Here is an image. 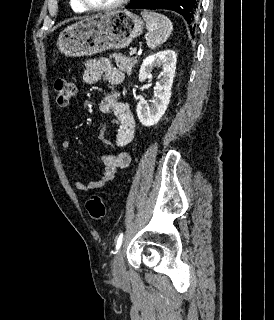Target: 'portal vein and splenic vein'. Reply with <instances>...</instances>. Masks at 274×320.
Masks as SVG:
<instances>
[{"instance_id": "1", "label": "portal vein and splenic vein", "mask_w": 274, "mask_h": 320, "mask_svg": "<svg viewBox=\"0 0 274 320\" xmlns=\"http://www.w3.org/2000/svg\"><path fill=\"white\" fill-rule=\"evenodd\" d=\"M133 54H136V50H132V52H130V56H133Z\"/></svg>"}]
</instances>
